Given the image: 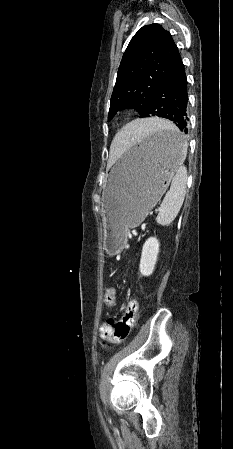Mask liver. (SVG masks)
I'll list each match as a JSON object with an SVG mask.
<instances>
[{
    "label": "liver",
    "instance_id": "liver-1",
    "mask_svg": "<svg viewBox=\"0 0 233 449\" xmlns=\"http://www.w3.org/2000/svg\"><path fill=\"white\" fill-rule=\"evenodd\" d=\"M171 126L172 124L162 119H142L129 123L119 133L113 134V142L111 145V156L118 157L119 152L123 146L132 141V136L145 134L150 128L155 125Z\"/></svg>",
    "mask_w": 233,
    "mask_h": 449
}]
</instances>
